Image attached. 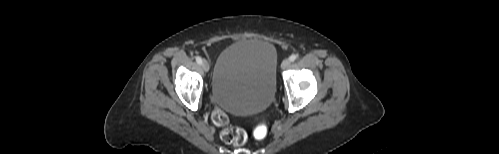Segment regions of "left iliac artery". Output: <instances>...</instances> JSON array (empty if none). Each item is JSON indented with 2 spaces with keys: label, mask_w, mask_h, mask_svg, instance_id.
Segmentation results:
<instances>
[{
  "label": "left iliac artery",
  "mask_w": 499,
  "mask_h": 154,
  "mask_svg": "<svg viewBox=\"0 0 499 154\" xmlns=\"http://www.w3.org/2000/svg\"><path fill=\"white\" fill-rule=\"evenodd\" d=\"M297 59V55L296 54H292L290 57H289V60L291 62L295 61Z\"/></svg>",
  "instance_id": "obj_1"
}]
</instances>
